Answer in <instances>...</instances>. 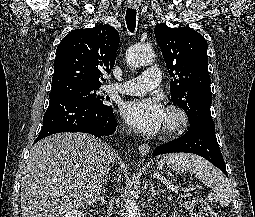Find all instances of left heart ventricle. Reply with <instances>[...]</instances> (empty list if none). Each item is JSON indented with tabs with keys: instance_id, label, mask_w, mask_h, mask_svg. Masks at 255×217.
I'll return each mask as SVG.
<instances>
[{
	"instance_id": "1",
	"label": "left heart ventricle",
	"mask_w": 255,
	"mask_h": 217,
	"mask_svg": "<svg viewBox=\"0 0 255 217\" xmlns=\"http://www.w3.org/2000/svg\"><path fill=\"white\" fill-rule=\"evenodd\" d=\"M175 123H176V118L166 113L163 129L167 128L168 126L174 125Z\"/></svg>"
}]
</instances>
